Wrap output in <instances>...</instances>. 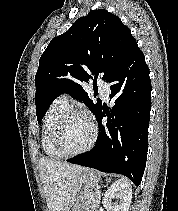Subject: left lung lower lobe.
<instances>
[{
	"instance_id": "obj_1",
	"label": "left lung lower lobe",
	"mask_w": 178,
	"mask_h": 211,
	"mask_svg": "<svg viewBox=\"0 0 178 211\" xmlns=\"http://www.w3.org/2000/svg\"><path fill=\"white\" fill-rule=\"evenodd\" d=\"M111 110L96 115L100 126L97 145L67 161L102 172L123 174L138 186L146 166L151 110L149 68L138 45L110 75ZM107 116L106 125L101 120Z\"/></svg>"
}]
</instances>
